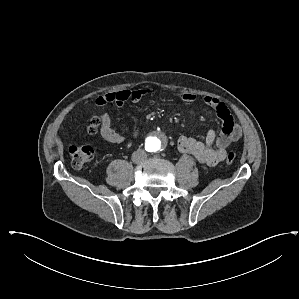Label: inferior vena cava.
Wrapping results in <instances>:
<instances>
[{
  "label": "inferior vena cava",
  "instance_id": "obj_1",
  "mask_svg": "<svg viewBox=\"0 0 299 299\" xmlns=\"http://www.w3.org/2000/svg\"><path fill=\"white\" fill-rule=\"evenodd\" d=\"M146 159V152L142 149H138L132 154V160L135 163H141Z\"/></svg>",
  "mask_w": 299,
  "mask_h": 299
}]
</instances>
